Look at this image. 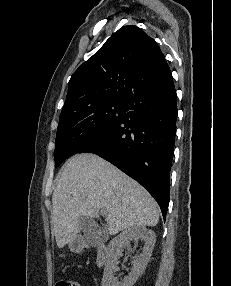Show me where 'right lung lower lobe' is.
<instances>
[{"label":"right lung lower lobe","instance_id":"obj_1","mask_svg":"<svg viewBox=\"0 0 231 286\" xmlns=\"http://www.w3.org/2000/svg\"><path fill=\"white\" fill-rule=\"evenodd\" d=\"M124 106V115L79 153L97 154L135 179L165 218L177 120L172 75L133 89Z\"/></svg>","mask_w":231,"mask_h":286}]
</instances>
